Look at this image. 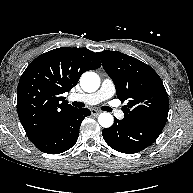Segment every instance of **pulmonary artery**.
<instances>
[{"mask_svg": "<svg viewBox=\"0 0 193 193\" xmlns=\"http://www.w3.org/2000/svg\"><path fill=\"white\" fill-rule=\"evenodd\" d=\"M115 93V85L113 81L109 78H105L102 81L100 88L93 92L87 94H74L70 97L71 100L82 101L89 105H95L102 101L110 99ZM114 114L117 118H124V113L119 109H113Z\"/></svg>", "mask_w": 193, "mask_h": 193, "instance_id": "e3ab8cb5", "label": "pulmonary artery"}]
</instances>
